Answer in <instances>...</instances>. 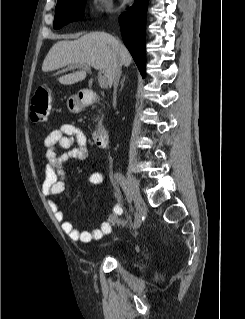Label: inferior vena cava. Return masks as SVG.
I'll return each mask as SVG.
<instances>
[{"instance_id":"inferior-vena-cava-1","label":"inferior vena cava","mask_w":245,"mask_h":319,"mask_svg":"<svg viewBox=\"0 0 245 319\" xmlns=\"http://www.w3.org/2000/svg\"><path fill=\"white\" fill-rule=\"evenodd\" d=\"M121 64L119 63L116 68L115 71L113 73V86H114V97L116 96V92H117V87H118V83H119V79L121 76Z\"/></svg>"}]
</instances>
